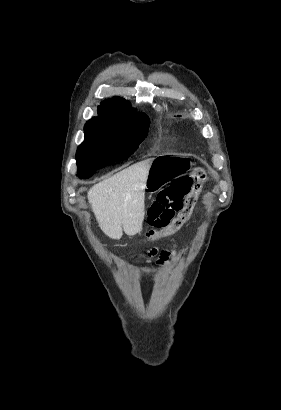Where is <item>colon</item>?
Masks as SVG:
<instances>
[{"mask_svg":"<svg viewBox=\"0 0 281 410\" xmlns=\"http://www.w3.org/2000/svg\"><path fill=\"white\" fill-rule=\"evenodd\" d=\"M206 179L205 170L196 168L190 175L161 190L149 208L151 229L145 233V237L154 241L177 231L190 217Z\"/></svg>","mask_w":281,"mask_h":410,"instance_id":"obj_1","label":"colon"}]
</instances>
